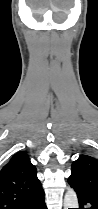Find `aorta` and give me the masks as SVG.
<instances>
[{
	"mask_svg": "<svg viewBox=\"0 0 98 209\" xmlns=\"http://www.w3.org/2000/svg\"><path fill=\"white\" fill-rule=\"evenodd\" d=\"M78 208V199L75 191L69 189L64 196V209Z\"/></svg>",
	"mask_w": 98,
	"mask_h": 209,
	"instance_id": "aorta-1",
	"label": "aorta"
}]
</instances>
